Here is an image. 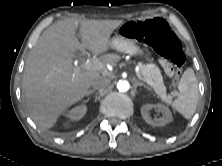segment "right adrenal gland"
<instances>
[{
  "mask_svg": "<svg viewBox=\"0 0 222 166\" xmlns=\"http://www.w3.org/2000/svg\"><path fill=\"white\" fill-rule=\"evenodd\" d=\"M95 92V90H89L87 93H86V96L90 95V94H93Z\"/></svg>",
  "mask_w": 222,
  "mask_h": 166,
  "instance_id": "1",
  "label": "right adrenal gland"
}]
</instances>
